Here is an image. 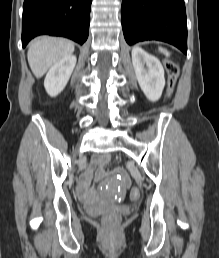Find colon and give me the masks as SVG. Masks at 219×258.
<instances>
[{"mask_svg": "<svg viewBox=\"0 0 219 258\" xmlns=\"http://www.w3.org/2000/svg\"><path fill=\"white\" fill-rule=\"evenodd\" d=\"M164 68L167 73V96L171 97L174 93L177 78L179 75V66L173 60L167 59L164 61ZM141 192L139 188L134 187L131 189L130 196L133 200L140 197ZM120 224V216L117 212H108L103 218V229L106 235H113Z\"/></svg>", "mask_w": 219, "mask_h": 258, "instance_id": "1", "label": "colon"}]
</instances>
